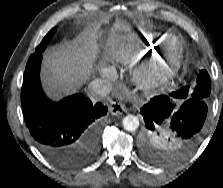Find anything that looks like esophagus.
<instances>
[{
    "label": "esophagus",
    "instance_id": "34e87169",
    "mask_svg": "<svg viewBox=\"0 0 223 188\" xmlns=\"http://www.w3.org/2000/svg\"><path fill=\"white\" fill-rule=\"evenodd\" d=\"M109 111L112 115H120L123 112H126L127 109L120 102H111L110 107H109Z\"/></svg>",
    "mask_w": 223,
    "mask_h": 188
}]
</instances>
